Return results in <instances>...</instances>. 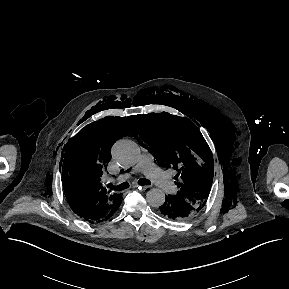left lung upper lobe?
Masks as SVG:
<instances>
[{"label": "left lung upper lobe", "mask_w": 289, "mask_h": 289, "mask_svg": "<svg viewBox=\"0 0 289 289\" xmlns=\"http://www.w3.org/2000/svg\"><path fill=\"white\" fill-rule=\"evenodd\" d=\"M139 124L158 164L178 171L175 196L201 210L212 185L214 162L198 128L185 118L165 113L139 116Z\"/></svg>", "instance_id": "obj_1"}]
</instances>
